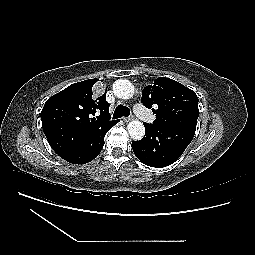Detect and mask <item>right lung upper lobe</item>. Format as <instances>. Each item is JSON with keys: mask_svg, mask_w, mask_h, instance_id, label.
<instances>
[{"mask_svg": "<svg viewBox=\"0 0 255 255\" xmlns=\"http://www.w3.org/2000/svg\"><path fill=\"white\" fill-rule=\"evenodd\" d=\"M98 79L74 83L50 97L42 111V128L52 149L62 156L91 131L114 125L106 92L97 97L92 87Z\"/></svg>", "mask_w": 255, "mask_h": 255, "instance_id": "cb5924a9", "label": "right lung upper lobe"}]
</instances>
